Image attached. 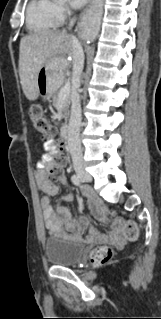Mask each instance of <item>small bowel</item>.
<instances>
[{
  "instance_id": "c3829d8e",
  "label": "small bowel",
  "mask_w": 161,
  "mask_h": 319,
  "mask_svg": "<svg viewBox=\"0 0 161 319\" xmlns=\"http://www.w3.org/2000/svg\"><path fill=\"white\" fill-rule=\"evenodd\" d=\"M45 151H51L53 148L48 144H44ZM50 157L47 153H44L36 162V183L39 190L44 194L41 198L40 205L43 214V219L46 229L50 234L60 236L61 230L65 229L66 232L73 235V239L79 240L81 233L88 229L89 241H103L98 237L97 229L90 225L85 218H81L77 221L72 219V216L65 206V201H71L74 198L75 191L69 186L65 178H50L46 173V168L49 165ZM57 183H62L68 187V192L65 196L58 198L56 201L55 208L51 205L49 196L56 195L58 193ZM88 204L92 209L94 215L101 222H108L110 230L113 233L112 239L119 241L122 236L121 223L117 219L107 220L104 216L103 201L99 197L88 196Z\"/></svg>"
}]
</instances>
